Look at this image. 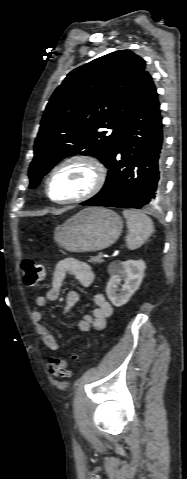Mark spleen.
<instances>
[{"label": "spleen", "instance_id": "obj_1", "mask_svg": "<svg viewBox=\"0 0 187 479\" xmlns=\"http://www.w3.org/2000/svg\"><path fill=\"white\" fill-rule=\"evenodd\" d=\"M122 213L127 220L129 230V234L126 236L127 248L135 250L152 235L153 222L150 217L138 210H124Z\"/></svg>", "mask_w": 187, "mask_h": 479}]
</instances>
